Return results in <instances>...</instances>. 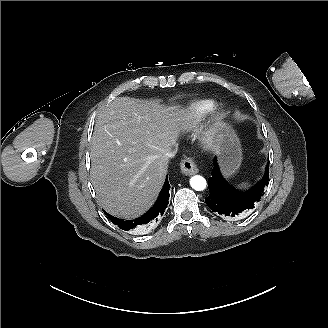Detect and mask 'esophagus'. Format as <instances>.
I'll return each instance as SVG.
<instances>
[{
  "label": "esophagus",
  "instance_id": "esophagus-1",
  "mask_svg": "<svg viewBox=\"0 0 328 328\" xmlns=\"http://www.w3.org/2000/svg\"><path fill=\"white\" fill-rule=\"evenodd\" d=\"M181 172L185 175H194L199 172L192 158L183 159L180 163Z\"/></svg>",
  "mask_w": 328,
  "mask_h": 328
}]
</instances>
